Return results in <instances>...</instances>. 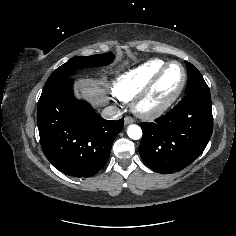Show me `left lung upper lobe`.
<instances>
[{
  "mask_svg": "<svg viewBox=\"0 0 236 236\" xmlns=\"http://www.w3.org/2000/svg\"><path fill=\"white\" fill-rule=\"evenodd\" d=\"M188 70V83L185 90L186 94L201 89H209L201 73L189 62H185Z\"/></svg>",
  "mask_w": 236,
  "mask_h": 236,
  "instance_id": "left-lung-upper-lobe-1",
  "label": "left lung upper lobe"
}]
</instances>
